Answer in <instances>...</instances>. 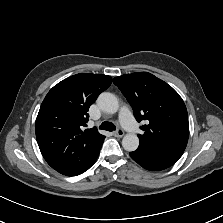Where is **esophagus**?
I'll list each match as a JSON object with an SVG mask.
<instances>
[{
  "label": "esophagus",
  "instance_id": "esophagus-1",
  "mask_svg": "<svg viewBox=\"0 0 223 223\" xmlns=\"http://www.w3.org/2000/svg\"><path fill=\"white\" fill-rule=\"evenodd\" d=\"M115 137H122L124 135V131L122 129H118L117 131L113 132Z\"/></svg>",
  "mask_w": 223,
  "mask_h": 223
}]
</instances>
